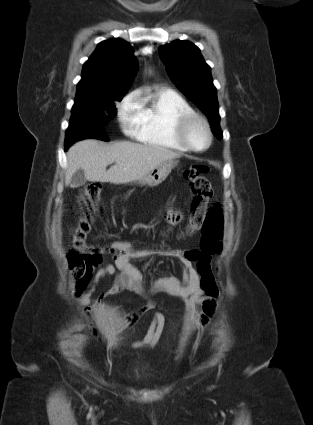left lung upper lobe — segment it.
Instances as JSON below:
<instances>
[{
  "mask_svg": "<svg viewBox=\"0 0 313 425\" xmlns=\"http://www.w3.org/2000/svg\"><path fill=\"white\" fill-rule=\"evenodd\" d=\"M159 53L171 80L206 114L213 134L222 139L217 92L200 49L189 41L175 40L160 46Z\"/></svg>",
  "mask_w": 313,
  "mask_h": 425,
  "instance_id": "left-lung-upper-lobe-1",
  "label": "left lung upper lobe"
}]
</instances>
